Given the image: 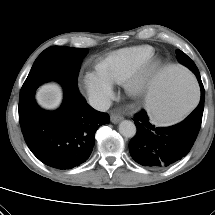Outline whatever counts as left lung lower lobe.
<instances>
[{
    "label": "left lung lower lobe",
    "mask_w": 215,
    "mask_h": 215,
    "mask_svg": "<svg viewBox=\"0 0 215 215\" xmlns=\"http://www.w3.org/2000/svg\"><path fill=\"white\" fill-rule=\"evenodd\" d=\"M201 100L197 108L181 123L166 128H156L145 110L134 116L136 135L129 143L132 158L148 168L168 167L185 157L192 148L201 127L205 91L201 77Z\"/></svg>",
    "instance_id": "obj_1"
}]
</instances>
